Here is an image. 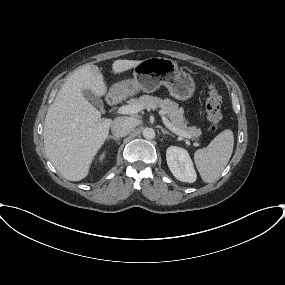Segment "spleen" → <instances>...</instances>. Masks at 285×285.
Segmentation results:
<instances>
[{"label":"spleen","mask_w":285,"mask_h":285,"mask_svg":"<svg viewBox=\"0 0 285 285\" xmlns=\"http://www.w3.org/2000/svg\"><path fill=\"white\" fill-rule=\"evenodd\" d=\"M233 147V132L226 129L206 148L195 151L194 162L204 182L211 183L218 179L231 158Z\"/></svg>","instance_id":"spleen-1"}]
</instances>
